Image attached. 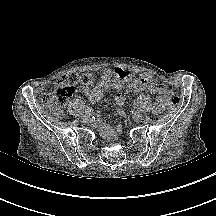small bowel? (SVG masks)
<instances>
[{
  "mask_svg": "<svg viewBox=\"0 0 216 216\" xmlns=\"http://www.w3.org/2000/svg\"><path fill=\"white\" fill-rule=\"evenodd\" d=\"M90 83L82 87V92L91 103H97L108 89L117 91L115 102L120 106L126 100L125 95L122 93L123 90L146 91L156 95V103L154 104V111L156 113H159L163 109V103L169 90L158 84L150 73H143L139 77H133L122 68H116L114 71L106 69L103 71L101 79L97 84L90 85Z\"/></svg>",
  "mask_w": 216,
  "mask_h": 216,
  "instance_id": "small-bowel-1",
  "label": "small bowel"
}]
</instances>
